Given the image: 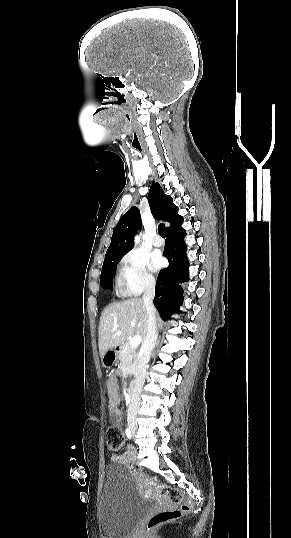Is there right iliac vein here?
Masks as SVG:
<instances>
[{
	"mask_svg": "<svg viewBox=\"0 0 291 538\" xmlns=\"http://www.w3.org/2000/svg\"><path fill=\"white\" fill-rule=\"evenodd\" d=\"M129 426H130L132 432L135 433V431L137 429L136 423L133 420H129Z\"/></svg>",
	"mask_w": 291,
	"mask_h": 538,
	"instance_id": "right-iliac-vein-1",
	"label": "right iliac vein"
}]
</instances>
